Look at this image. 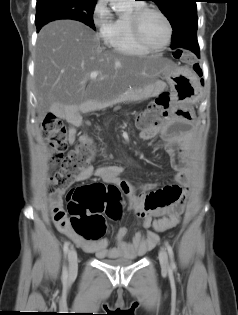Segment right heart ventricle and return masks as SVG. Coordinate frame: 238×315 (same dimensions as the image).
Instances as JSON below:
<instances>
[{
  "label": "right heart ventricle",
  "mask_w": 238,
  "mask_h": 315,
  "mask_svg": "<svg viewBox=\"0 0 238 315\" xmlns=\"http://www.w3.org/2000/svg\"><path fill=\"white\" fill-rule=\"evenodd\" d=\"M141 7L143 4L131 1L130 9L118 13L106 28L102 38L104 43L114 52L123 55H146L149 53L135 41L131 31V15L133 11Z\"/></svg>",
  "instance_id": "right-heart-ventricle-1"
}]
</instances>
